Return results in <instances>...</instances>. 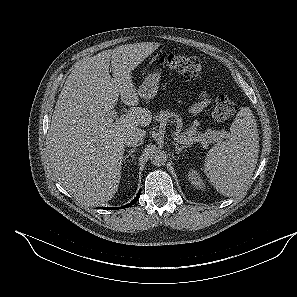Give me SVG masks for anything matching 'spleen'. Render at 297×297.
<instances>
[{"label":"spleen","mask_w":297,"mask_h":297,"mask_svg":"<svg viewBox=\"0 0 297 297\" xmlns=\"http://www.w3.org/2000/svg\"><path fill=\"white\" fill-rule=\"evenodd\" d=\"M259 154V134L249 107L234 119L226 141L215 144L207 153L203 170L209 182L222 195L241 193L255 170Z\"/></svg>","instance_id":"spleen-1"}]
</instances>
